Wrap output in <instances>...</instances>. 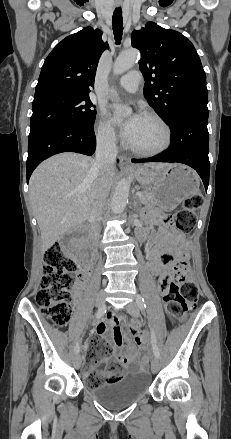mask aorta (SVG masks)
<instances>
[{"mask_svg": "<svg viewBox=\"0 0 231 439\" xmlns=\"http://www.w3.org/2000/svg\"><path fill=\"white\" fill-rule=\"evenodd\" d=\"M139 51L137 49H129L122 52L115 60L113 65L114 75H120L129 70L139 59ZM114 97H117L116 92H112ZM126 115L131 114V110H125ZM130 190V183L126 179L118 182L111 201V210L115 214H120L126 208Z\"/></svg>", "mask_w": 231, "mask_h": 439, "instance_id": "obj_1", "label": "aorta"}]
</instances>
